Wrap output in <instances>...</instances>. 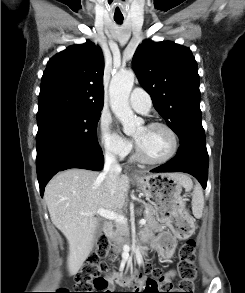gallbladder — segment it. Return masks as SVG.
<instances>
[{
  "label": "gallbladder",
  "instance_id": "obj_1",
  "mask_svg": "<svg viewBox=\"0 0 245 293\" xmlns=\"http://www.w3.org/2000/svg\"><path fill=\"white\" fill-rule=\"evenodd\" d=\"M102 232H103V223L99 222L95 235H94V241H93L94 246L96 245L98 238L102 235Z\"/></svg>",
  "mask_w": 245,
  "mask_h": 293
}]
</instances>
